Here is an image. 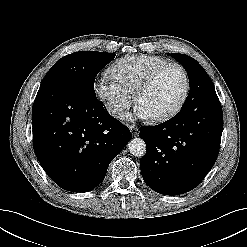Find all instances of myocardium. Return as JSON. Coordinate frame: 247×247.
<instances>
[{
	"label": "myocardium",
	"instance_id": "myocardium-1",
	"mask_svg": "<svg viewBox=\"0 0 247 247\" xmlns=\"http://www.w3.org/2000/svg\"><path fill=\"white\" fill-rule=\"evenodd\" d=\"M179 68L184 76V80H185V85H184V89L183 92L178 100V102L174 105V107H172L170 110H168L167 112L157 115V116H152L150 117L151 120L155 121V122H163L166 121L170 118H172L173 116H175L183 107V105L186 102V99L189 95V91H190V78H189V74L186 70V68L179 64V63H168L166 65H163L159 68H157L156 70H154L153 72H151L136 88L134 94H133V99L134 102L137 104L139 97L147 90L149 89L153 83L156 81V79L167 69L169 68Z\"/></svg>",
	"mask_w": 247,
	"mask_h": 247
}]
</instances>
